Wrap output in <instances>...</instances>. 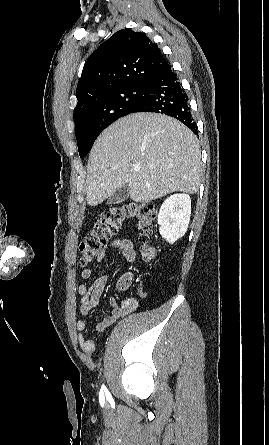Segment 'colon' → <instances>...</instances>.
Returning a JSON list of instances; mask_svg holds the SVG:
<instances>
[{"label": "colon", "instance_id": "5ec220e1", "mask_svg": "<svg viewBox=\"0 0 269 445\" xmlns=\"http://www.w3.org/2000/svg\"><path fill=\"white\" fill-rule=\"evenodd\" d=\"M157 211L151 202H127L109 207L99 216L94 229L79 245V263L87 266L97 259L108 240L112 238L128 220L137 222L141 231V252L145 259L152 260L156 249L150 244L156 226ZM128 282L121 287H126Z\"/></svg>", "mask_w": 269, "mask_h": 445}]
</instances>
